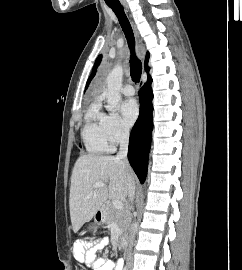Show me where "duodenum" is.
I'll return each instance as SVG.
<instances>
[{
  "label": "duodenum",
  "instance_id": "duodenum-1",
  "mask_svg": "<svg viewBox=\"0 0 242 270\" xmlns=\"http://www.w3.org/2000/svg\"><path fill=\"white\" fill-rule=\"evenodd\" d=\"M98 220H100V219H98ZM126 242H127L126 236L125 235H121L120 238H119V244H120V246L121 247H125Z\"/></svg>",
  "mask_w": 242,
  "mask_h": 270
}]
</instances>
